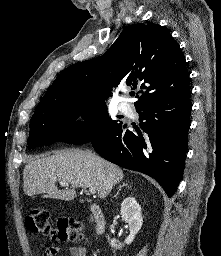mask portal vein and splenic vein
I'll list each match as a JSON object with an SVG mask.
<instances>
[{
	"instance_id": "obj_1",
	"label": "portal vein and splenic vein",
	"mask_w": 221,
	"mask_h": 256,
	"mask_svg": "<svg viewBox=\"0 0 221 256\" xmlns=\"http://www.w3.org/2000/svg\"><path fill=\"white\" fill-rule=\"evenodd\" d=\"M60 184H61L62 186H67V185H68V183H65V182H60ZM89 191H90V193H92V194H95V193H96V189L93 188V187L89 188Z\"/></svg>"
}]
</instances>
